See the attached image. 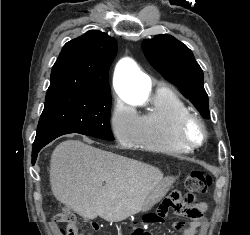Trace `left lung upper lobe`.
<instances>
[{"label": "left lung upper lobe", "instance_id": "5c2ea615", "mask_svg": "<svg viewBox=\"0 0 250 235\" xmlns=\"http://www.w3.org/2000/svg\"><path fill=\"white\" fill-rule=\"evenodd\" d=\"M151 65L178 87L203 117L209 118L208 95L203 86V72L191 50L170 35H157L142 44Z\"/></svg>", "mask_w": 250, "mask_h": 235}]
</instances>
